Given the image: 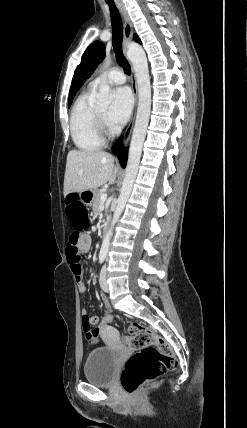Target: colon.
<instances>
[{
	"label": "colon",
	"mask_w": 247,
	"mask_h": 428,
	"mask_svg": "<svg viewBox=\"0 0 247 428\" xmlns=\"http://www.w3.org/2000/svg\"><path fill=\"white\" fill-rule=\"evenodd\" d=\"M63 207L66 217L65 228L73 232L67 249L79 259L77 250L79 232H89L91 218L86 217L87 205L82 202L78 194H71L68 199H64ZM100 314L103 318L100 319L97 330L91 328L87 318L82 319L85 339L89 346L97 345L98 333L108 330L111 320L114 319L113 311L110 308H103ZM127 332L124 339L125 344L137 351L125 363L121 373V384L128 394H135L144 384L176 368L178 362L170 344L150 328L140 323H132L128 326Z\"/></svg>",
	"instance_id": "colon-1"
}]
</instances>
